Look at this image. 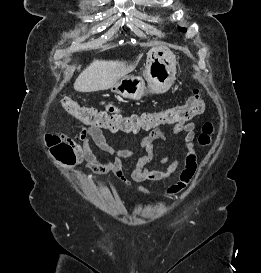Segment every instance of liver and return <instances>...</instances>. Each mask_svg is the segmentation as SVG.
<instances>
[{
    "label": "liver",
    "instance_id": "6515ba94",
    "mask_svg": "<svg viewBox=\"0 0 261 273\" xmlns=\"http://www.w3.org/2000/svg\"><path fill=\"white\" fill-rule=\"evenodd\" d=\"M141 57L138 56L137 60ZM135 63L126 61L94 60L87 66L74 82V89L82 93L107 90L122 77L133 70ZM75 68L72 69V73Z\"/></svg>",
    "mask_w": 261,
    "mask_h": 273
}]
</instances>
